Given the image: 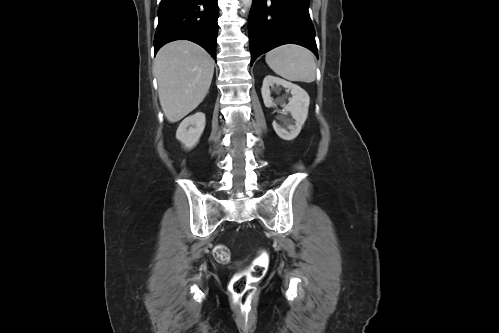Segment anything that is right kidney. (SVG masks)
I'll return each mask as SVG.
<instances>
[{
    "instance_id": "obj_1",
    "label": "right kidney",
    "mask_w": 499,
    "mask_h": 333,
    "mask_svg": "<svg viewBox=\"0 0 499 333\" xmlns=\"http://www.w3.org/2000/svg\"><path fill=\"white\" fill-rule=\"evenodd\" d=\"M204 128L205 114L195 113L181 122L176 132V138L186 149H191L198 143Z\"/></svg>"
}]
</instances>
